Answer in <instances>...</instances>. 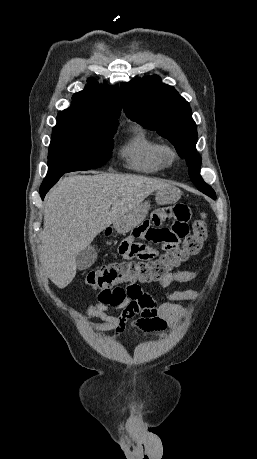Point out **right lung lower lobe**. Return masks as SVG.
Here are the masks:
<instances>
[{"label": "right lung lower lobe", "mask_w": 257, "mask_h": 459, "mask_svg": "<svg viewBox=\"0 0 257 459\" xmlns=\"http://www.w3.org/2000/svg\"><path fill=\"white\" fill-rule=\"evenodd\" d=\"M63 174H59V175H56V176H47L41 187H40V196L42 199H44V196L46 195V193L49 191V189L59 180V178L62 176Z\"/></svg>", "instance_id": "98d812e1"}]
</instances>
